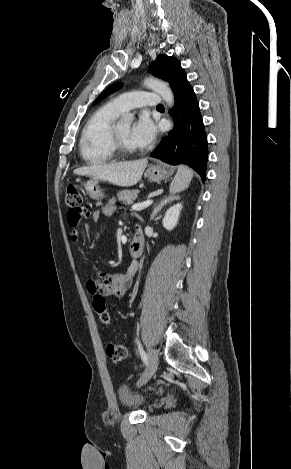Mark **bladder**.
<instances>
[{
    "label": "bladder",
    "instance_id": "obj_1",
    "mask_svg": "<svg viewBox=\"0 0 291 469\" xmlns=\"http://www.w3.org/2000/svg\"><path fill=\"white\" fill-rule=\"evenodd\" d=\"M118 398L120 402L127 408H141L145 404V397L135 392L128 385H121L118 389Z\"/></svg>",
    "mask_w": 291,
    "mask_h": 469
}]
</instances>
